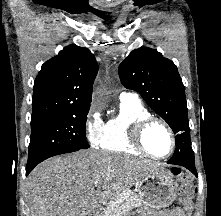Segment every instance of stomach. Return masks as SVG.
I'll list each match as a JSON object with an SVG mask.
<instances>
[{
  "mask_svg": "<svg viewBox=\"0 0 221 216\" xmlns=\"http://www.w3.org/2000/svg\"><path fill=\"white\" fill-rule=\"evenodd\" d=\"M178 184L170 171L163 169L150 173L137 182L139 207L148 211L166 208L177 197ZM139 214L138 211L128 212L126 216Z\"/></svg>",
  "mask_w": 221,
  "mask_h": 216,
  "instance_id": "obj_1",
  "label": "stomach"
}]
</instances>
